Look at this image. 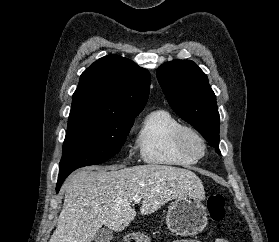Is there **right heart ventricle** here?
Listing matches in <instances>:
<instances>
[{
  "mask_svg": "<svg viewBox=\"0 0 279 242\" xmlns=\"http://www.w3.org/2000/svg\"><path fill=\"white\" fill-rule=\"evenodd\" d=\"M180 122L168 111L158 109L148 113L140 126L136 144L148 164L188 167L197 162L183 154L176 143Z\"/></svg>",
  "mask_w": 279,
  "mask_h": 242,
  "instance_id": "1",
  "label": "right heart ventricle"
}]
</instances>
